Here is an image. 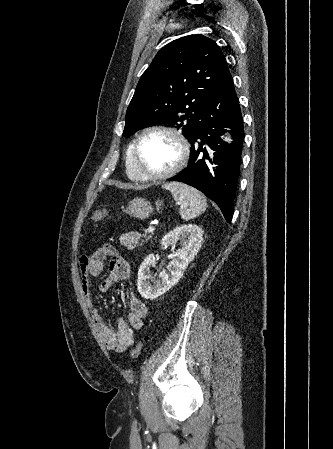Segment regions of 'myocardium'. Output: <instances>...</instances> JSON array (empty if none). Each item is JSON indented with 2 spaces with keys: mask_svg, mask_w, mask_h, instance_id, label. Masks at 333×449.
Instances as JSON below:
<instances>
[{
  "mask_svg": "<svg viewBox=\"0 0 333 449\" xmlns=\"http://www.w3.org/2000/svg\"><path fill=\"white\" fill-rule=\"evenodd\" d=\"M154 132H160L172 137L178 145L179 156L176 163L170 169L161 173L147 174L143 172L140 165V144L146 135ZM189 154L190 147L186 138L178 130L164 125H151L144 128L133 143L134 167L142 181H160L174 176L185 167L189 159Z\"/></svg>",
  "mask_w": 333,
  "mask_h": 449,
  "instance_id": "1",
  "label": "myocardium"
}]
</instances>
